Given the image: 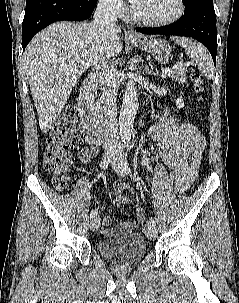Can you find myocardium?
Here are the masks:
<instances>
[{
  "mask_svg": "<svg viewBox=\"0 0 239 303\" xmlns=\"http://www.w3.org/2000/svg\"><path fill=\"white\" fill-rule=\"evenodd\" d=\"M178 8L177 11L171 15L170 17L164 18V19H148L140 16L137 11L135 10V7L132 8V17L139 23L147 25V26H167L170 24H173L180 20L186 9L185 0H176Z\"/></svg>",
  "mask_w": 239,
  "mask_h": 303,
  "instance_id": "myocardium-1",
  "label": "myocardium"
}]
</instances>
